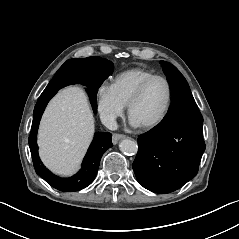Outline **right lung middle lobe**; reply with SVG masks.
<instances>
[{"instance_id": "dd1d6c3e", "label": "right lung middle lobe", "mask_w": 239, "mask_h": 239, "mask_svg": "<svg viewBox=\"0 0 239 239\" xmlns=\"http://www.w3.org/2000/svg\"><path fill=\"white\" fill-rule=\"evenodd\" d=\"M101 59H103L104 61H108L107 59H104V58H101ZM56 78H57V74L54 75L53 79L50 81V83L48 84V86L45 88L43 92L50 91L53 88V86L55 85Z\"/></svg>"}]
</instances>
